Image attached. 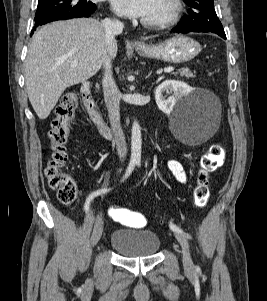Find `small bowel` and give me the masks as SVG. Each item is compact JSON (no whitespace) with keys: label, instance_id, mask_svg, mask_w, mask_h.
I'll list each match as a JSON object with an SVG mask.
<instances>
[{"label":"small bowel","instance_id":"obj_1","mask_svg":"<svg viewBox=\"0 0 267 301\" xmlns=\"http://www.w3.org/2000/svg\"><path fill=\"white\" fill-rule=\"evenodd\" d=\"M168 167L178 182L182 184L187 183L188 175L181 162L176 159H171L168 161Z\"/></svg>","mask_w":267,"mask_h":301}]
</instances>
